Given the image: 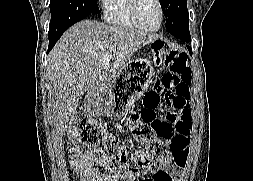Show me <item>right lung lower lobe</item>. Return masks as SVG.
Wrapping results in <instances>:
<instances>
[{"label": "right lung lower lobe", "mask_w": 253, "mask_h": 181, "mask_svg": "<svg viewBox=\"0 0 253 181\" xmlns=\"http://www.w3.org/2000/svg\"><path fill=\"white\" fill-rule=\"evenodd\" d=\"M65 31H62V32H60V33H58L56 35H53V36H49V47H48V51L47 52H49L53 48V46L55 45V43L57 42V40L61 37V35Z\"/></svg>", "instance_id": "right-lung-lower-lobe-1"}]
</instances>
